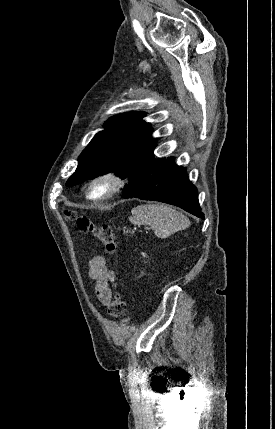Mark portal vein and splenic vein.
<instances>
[{
    "label": "portal vein and splenic vein",
    "instance_id": "18ae733b",
    "mask_svg": "<svg viewBox=\"0 0 275 429\" xmlns=\"http://www.w3.org/2000/svg\"><path fill=\"white\" fill-rule=\"evenodd\" d=\"M147 229H148L147 227L144 228V230H147Z\"/></svg>",
    "mask_w": 275,
    "mask_h": 429
}]
</instances>
